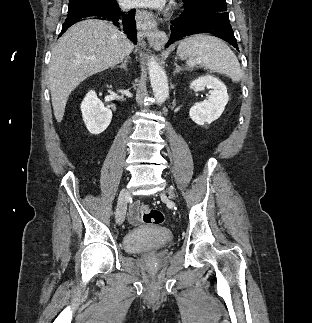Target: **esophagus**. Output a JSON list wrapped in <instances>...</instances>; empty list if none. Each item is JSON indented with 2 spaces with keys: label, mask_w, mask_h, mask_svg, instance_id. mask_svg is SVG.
I'll return each mask as SVG.
<instances>
[{
  "label": "esophagus",
  "mask_w": 312,
  "mask_h": 323,
  "mask_svg": "<svg viewBox=\"0 0 312 323\" xmlns=\"http://www.w3.org/2000/svg\"><path fill=\"white\" fill-rule=\"evenodd\" d=\"M136 21L139 37H146L149 45L155 49L162 48L167 41V35L158 30L154 15L148 10H137Z\"/></svg>",
  "instance_id": "1"
}]
</instances>
